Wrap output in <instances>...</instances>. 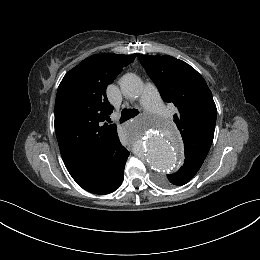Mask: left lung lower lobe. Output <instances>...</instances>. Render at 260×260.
Masks as SVG:
<instances>
[{
    "label": "left lung lower lobe",
    "mask_w": 260,
    "mask_h": 260,
    "mask_svg": "<svg viewBox=\"0 0 260 260\" xmlns=\"http://www.w3.org/2000/svg\"><path fill=\"white\" fill-rule=\"evenodd\" d=\"M200 165L192 161L184 162L180 170L174 174L167 175L168 180L177 186H181L189 182L200 169Z\"/></svg>",
    "instance_id": "1"
}]
</instances>
